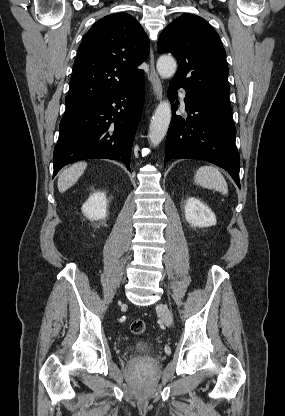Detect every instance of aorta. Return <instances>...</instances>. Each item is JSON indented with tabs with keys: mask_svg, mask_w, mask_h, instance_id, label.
I'll return each mask as SVG.
<instances>
[{
	"mask_svg": "<svg viewBox=\"0 0 285 416\" xmlns=\"http://www.w3.org/2000/svg\"><path fill=\"white\" fill-rule=\"evenodd\" d=\"M157 71L162 78L172 77L176 70L177 64L171 56H161L156 65ZM171 106L168 101H162L152 117L149 127V143L152 146H158L165 137L171 121Z\"/></svg>",
	"mask_w": 285,
	"mask_h": 416,
	"instance_id": "762f6f07",
	"label": "aorta"
}]
</instances>
